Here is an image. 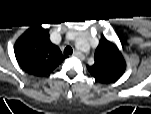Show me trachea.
I'll return each mask as SVG.
<instances>
[{"label": "trachea", "instance_id": "1", "mask_svg": "<svg viewBox=\"0 0 151 114\" xmlns=\"http://www.w3.org/2000/svg\"><path fill=\"white\" fill-rule=\"evenodd\" d=\"M73 50L70 46H67L65 49H64V54H72Z\"/></svg>", "mask_w": 151, "mask_h": 114}]
</instances>
